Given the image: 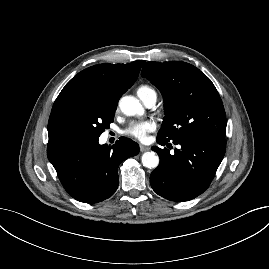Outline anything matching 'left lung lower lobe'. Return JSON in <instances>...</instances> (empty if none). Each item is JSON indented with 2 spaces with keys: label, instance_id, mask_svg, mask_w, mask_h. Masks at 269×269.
<instances>
[{
  "label": "left lung lower lobe",
  "instance_id": "obj_1",
  "mask_svg": "<svg viewBox=\"0 0 269 269\" xmlns=\"http://www.w3.org/2000/svg\"><path fill=\"white\" fill-rule=\"evenodd\" d=\"M161 145L167 142L158 140ZM179 145L174 154L167 148L152 147L160 157L159 166L150 175L152 189L171 201H188L210 185L226 151V139L193 136L173 141Z\"/></svg>",
  "mask_w": 269,
  "mask_h": 269
}]
</instances>
